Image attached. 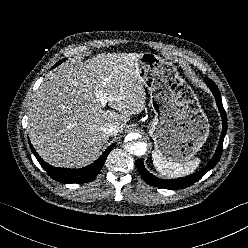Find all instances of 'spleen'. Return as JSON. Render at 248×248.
Wrapping results in <instances>:
<instances>
[{
    "label": "spleen",
    "mask_w": 248,
    "mask_h": 248,
    "mask_svg": "<svg viewBox=\"0 0 248 248\" xmlns=\"http://www.w3.org/2000/svg\"><path fill=\"white\" fill-rule=\"evenodd\" d=\"M152 158L156 170L168 178H177L189 175L193 173L201 163L199 158L184 163L169 162L161 159L155 153H152Z\"/></svg>",
    "instance_id": "obj_1"
}]
</instances>
